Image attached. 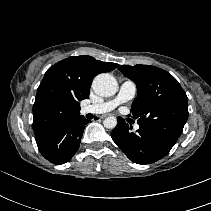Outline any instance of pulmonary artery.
I'll list each match as a JSON object with an SVG mask.
<instances>
[{
	"label": "pulmonary artery",
	"mask_w": 211,
	"mask_h": 211,
	"mask_svg": "<svg viewBox=\"0 0 211 211\" xmlns=\"http://www.w3.org/2000/svg\"><path fill=\"white\" fill-rule=\"evenodd\" d=\"M136 92V84L131 80H125L121 84L118 94L112 100L86 105L82 108V112L92 114H102L109 112L115 109L118 105L133 99L136 95ZM135 129H139V125H136Z\"/></svg>",
	"instance_id": "pulmonary-artery-1"
}]
</instances>
